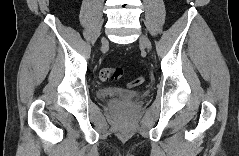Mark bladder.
<instances>
[{"label": "bladder", "mask_w": 239, "mask_h": 156, "mask_svg": "<svg viewBox=\"0 0 239 156\" xmlns=\"http://www.w3.org/2000/svg\"><path fill=\"white\" fill-rule=\"evenodd\" d=\"M97 97L101 100L109 99L112 97H124L132 101H139L144 98L143 92H127L120 89L103 87L97 90Z\"/></svg>", "instance_id": "1"}]
</instances>
